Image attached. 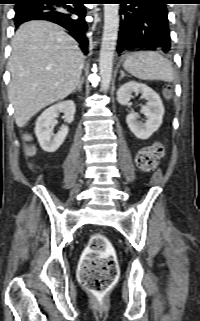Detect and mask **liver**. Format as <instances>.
<instances>
[{"mask_svg": "<svg viewBox=\"0 0 200 321\" xmlns=\"http://www.w3.org/2000/svg\"><path fill=\"white\" fill-rule=\"evenodd\" d=\"M83 63L77 42L61 27L46 21L21 25L8 63V95L16 125L23 127L41 109L72 93Z\"/></svg>", "mask_w": 200, "mask_h": 321, "instance_id": "liver-1", "label": "liver"}]
</instances>
